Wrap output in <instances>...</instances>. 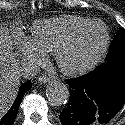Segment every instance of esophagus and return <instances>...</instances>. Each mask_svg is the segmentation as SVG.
<instances>
[{
  "label": "esophagus",
  "instance_id": "esophagus-1",
  "mask_svg": "<svg viewBox=\"0 0 125 125\" xmlns=\"http://www.w3.org/2000/svg\"><path fill=\"white\" fill-rule=\"evenodd\" d=\"M49 78L48 77H46V76H40L39 78H38V81L40 82V83H47V82H49Z\"/></svg>",
  "mask_w": 125,
  "mask_h": 125
}]
</instances>
